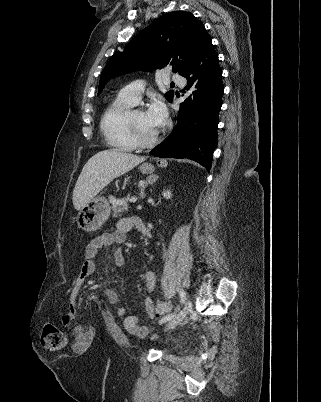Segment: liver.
Returning a JSON list of instances; mask_svg holds the SVG:
<instances>
[{
	"label": "liver",
	"instance_id": "6515ba94",
	"mask_svg": "<svg viewBox=\"0 0 321 402\" xmlns=\"http://www.w3.org/2000/svg\"><path fill=\"white\" fill-rule=\"evenodd\" d=\"M145 157L118 149L103 150L93 155L84 165L73 191V205L81 210L113 179L130 171Z\"/></svg>",
	"mask_w": 321,
	"mask_h": 402
}]
</instances>
